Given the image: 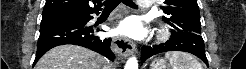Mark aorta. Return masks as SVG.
Instances as JSON below:
<instances>
[{"mask_svg": "<svg viewBox=\"0 0 246 69\" xmlns=\"http://www.w3.org/2000/svg\"><path fill=\"white\" fill-rule=\"evenodd\" d=\"M125 69H138V61L136 57H130L125 65Z\"/></svg>", "mask_w": 246, "mask_h": 69, "instance_id": "1", "label": "aorta"}]
</instances>
